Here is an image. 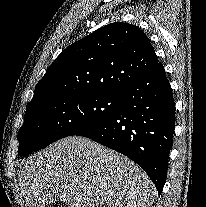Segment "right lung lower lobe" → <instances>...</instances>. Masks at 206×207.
<instances>
[{
	"mask_svg": "<svg viewBox=\"0 0 206 207\" xmlns=\"http://www.w3.org/2000/svg\"><path fill=\"white\" fill-rule=\"evenodd\" d=\"M110 117L78 136L90 138L136 162L161 194L175 128V103L161 63L121 93Z\"/></svg>",
	"mask_w": 206,
	"mask_h": 207,
	"instance_id": "right-lung-lower-lobe-1",
	"label": "right lung lower lobe"
}]
</instances>
